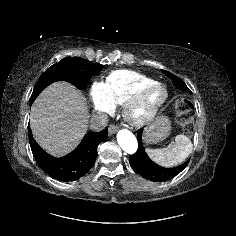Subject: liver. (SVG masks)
<instances>
[{"instance_id": "1", "label": "liver", "mask_w": 236, "mask_h": 236, "mask_svg": "<svg viewBox=\"0 0 236 236\" xmlns=\"http://www.w3.org/2000/svg\"><path fill=\"white\" fill-rule=\"evenodd\" d=\"M88 117L85 98L80 91L67 82H56L32 105L30 126L42 148L54 156H63L85 135Z\"/></svg>"}]
</instances>
